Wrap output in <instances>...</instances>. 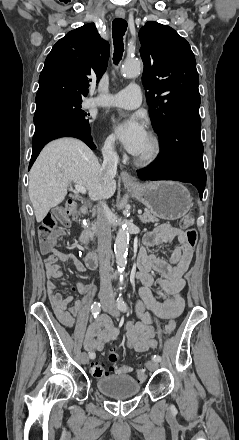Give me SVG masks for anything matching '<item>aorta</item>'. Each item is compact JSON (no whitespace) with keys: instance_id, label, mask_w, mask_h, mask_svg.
<instances>
[{"instance_id":"aorta-1","label":"aorta","mask_w":239,"mask_h":440,"mask_svg":"<svg viewBox=\"0 0 239 440\" xmlns=\"http://www.w3.org/2000/svg\"><path fill=\"white\" fill-rule=\"evenodd\" d=\"M141 66L142 62H139V60H134V62H125L123 68H121V72L124 78H137L141 72ZM128 242L129 234L125 226H122V228H120V230L117 232L114 244L116 264L119 272H122L123 268H125L127 264Z\"/></svg>"}]
</instances>
